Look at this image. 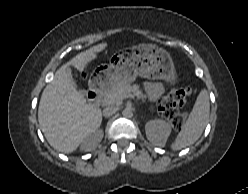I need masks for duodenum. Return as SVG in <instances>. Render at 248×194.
Instances as JSON below:
<instances>
[{"label": "duodenum", "mask_w": 248, "mask_h": 194, "mask_svg": "<svg viewBox=\"0 0 248 194\" xmlns=\"http://www.w3.org/2000/svg\"><path fill=\"white\" fill-rule=\"evenodd\" d=\"M101 82H95L88 92V100L92 106H97L101 99Z\"/></svg>", "instance_id": "duodenum-1"}]
</instances>
